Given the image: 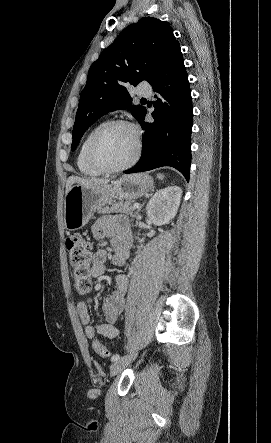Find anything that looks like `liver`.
Listing matches in <instances>:
<instances>
[{
    "label": "liver",
    "mask_w": 271,
    "mask_h": 443,
    "mask_svg": "<svg viewBox=\"0 0 271 443\" xmlns=\"http://www.w3.org/2000/svg\"><path fill=\"white\" fill-rule=\"evenodd\" d=\"M108 182L109 180H96V178L83 180V178H77V176H70V178L66 180L65 194H68L73 184H79V186H98V184H108Z\"/></svg>",
    "instance_id": "1"
}]
</instances>
